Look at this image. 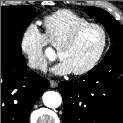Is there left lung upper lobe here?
<instances>
[{
	"label": "left lung upper lobe",
	"instance_id": "left-lung-upper-lobe-1",
	"mask_svg": "<svg viewBox=\"0 0 123 123\" xmlns=\"http://www.w3.org/2000/svg\"><path fill=\"white\" fill-rule=\"evenodd\" d=\"M85 11L89 16L102 23L110 36L111 46L103 60L123 54V26L103 9L87 7Z\"/></svg>",
	"mask_w": 123,
	"mask_h": 123
}]
</instances>
